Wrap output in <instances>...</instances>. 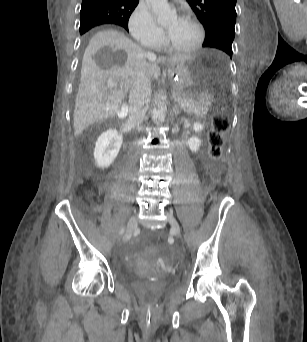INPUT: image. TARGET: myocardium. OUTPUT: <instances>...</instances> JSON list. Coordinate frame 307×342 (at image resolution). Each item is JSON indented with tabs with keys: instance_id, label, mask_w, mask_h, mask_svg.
<instances>
[{
	"instance_id": "myocardium-1",
	"label": "myocardium",
	"mask_w": 307,
	"mask_h": 342,
	"mask_svg": "<svg viewBox=\"0 0 307 342\" xmlns=\"http://www.w3.org/2000/svg\"><path fill=\"white\" fill-rule=\"evenodd\" d=\"M182 21L190 23L195 28L197 32V39L190 47L186 49H182V50H173L169 48L167 41H165L162 49L165 52L170 53L172 55L180 56V55H187V54L194 53L199 48H201L203 44L205 43V39H206L205 28H204V25L198 19H196L195 17H184Z\"/></svg>"
}]
</instances>
